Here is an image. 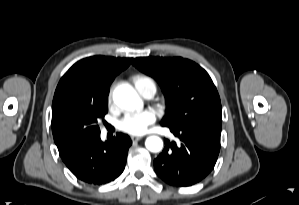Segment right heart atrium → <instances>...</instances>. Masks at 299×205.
Wrapping results in <instances>:
<instances>
[{
    "instance_id": "obj_1",
    "label": "right heart atrium",
    "mask_w": 299,
    "mask_h": 205,
    "mask_svg": "<svg viewBox=\"0 0 299 205\" xmlns=\"http://www.w3.org/2000/svg\"><path fill=\"white\" fill-rule=\"evenodd\" d=\"M108 101H109V102L111 101V91H110L109 94H108Z\"/></svg>"
}]
</instances>
